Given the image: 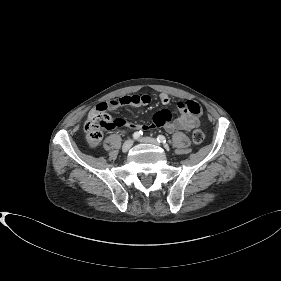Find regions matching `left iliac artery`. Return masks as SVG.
Segmentation results:
<instances>
[{
	"label": "left iliac artery",
	"instance_id": "left-iliac-artery-1",
	"mask_svg": "<svg viewBox=\"0 0 281 281\" xmlns=\"http://www.w3.org/2000/svg\"><path fill=\"white\" fill-rule=\"evenodd\" d=\"M157 141L159 143H166V138L163 135H158L157 136Z\"/></svg>",
	"mask_w": 281,
	"mask_h": 281
}]
</instances>
